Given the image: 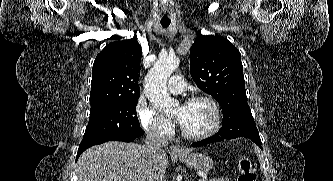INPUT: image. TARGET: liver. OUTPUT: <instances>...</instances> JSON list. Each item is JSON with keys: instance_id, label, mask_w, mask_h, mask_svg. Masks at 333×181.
I'll use <instances>...</instances> for the list:
<instances>
[{"instance_id": "1", "label": "liver", "mask_w": 333, "mask_h": 181, "mask_svg": "<svg viewBox=\"0 0 333 181\" xmlns=\"http://www.w3.org/2000/svg\"><path fill=\"white\" fill-rule=\"evenodd\" d=\"M168 156L164 152L159 167L165 173ZM149 154L144 145L105 142L86 150L78 160V181H146Z\"/></svg>"}]
</instances>
